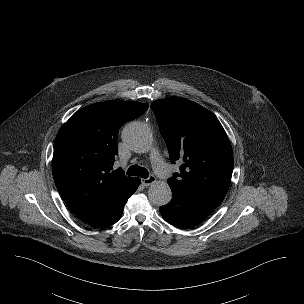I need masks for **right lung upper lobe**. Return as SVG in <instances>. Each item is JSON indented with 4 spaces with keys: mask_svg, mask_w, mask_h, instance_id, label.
<instances>
[{
    "mask_svg": "<svg viewBox=\"0 0 304 304\" xmlns=\"http://www.w3.org/2000/svg\"><path fill=\"white\" fill-rule=\"evenodd\" d=\"M148 109L147 103L106 101L84 107L59 130L53 154L54 181L67 206L90 221L128 184L122 169L113 171L119 128Z\"/></svg>",
    "mask_w": 304,
    "mask_h": 304,
    "instance_id": "obj_1",
    "label": "right lung upper lobe"
}]
</instances>
